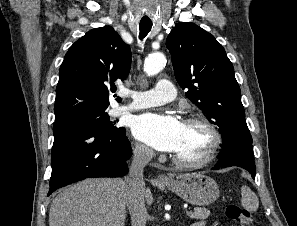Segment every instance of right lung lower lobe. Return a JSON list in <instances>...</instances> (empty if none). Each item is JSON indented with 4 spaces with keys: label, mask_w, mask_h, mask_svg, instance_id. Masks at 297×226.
I'll list each match as a JSON object with an SVG mask.
<instances>
[{
    "label": "right lung lower lobe",
    "mask_w": 297,
    "mask_h": 226,
    "mask_svg": "<svg viewBox=\"0 0 297 226\" xmlns=\"http://www.w3.org/2000/svg\"><path fill=\"white\" fill-rule=\"evenodd\" d=\"M52 174L48 196L68 184L95 177H120L128 172L131 146L126 132L107 133L81 121L53 125Z\"/></svg>",
    "instance_id": "right-lung-lower-lobe-1"
}]
</instances>
